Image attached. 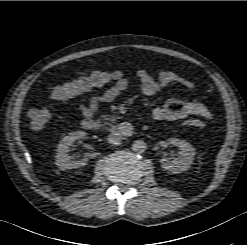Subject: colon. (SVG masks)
I'll use <instances>...</instances> for the list:
<instances>
[{
	"label": "colon",
	"instance_id": "1",
	"mask_svg": "<svg viewBox=\"0 0 247 245\" xmlns=\"http://www.w3.org/2000/svg\"><path fill=\"white\" fill-rule=\"evenodd\" d=\"M122 73L116 70H98L86 76L79 77L70 82L61 84L53 88L50 92L52 100L63 101L92 89L104 87L121 78ZM31 127L35 130L42 129L49 120L48 110L42 108L31 109L28 113ZM183 125L203 128L206 124L198 119H185Z\"/></svg>",
	"mask_w": 247,
	"mask_h": 245
}]
</instances>
